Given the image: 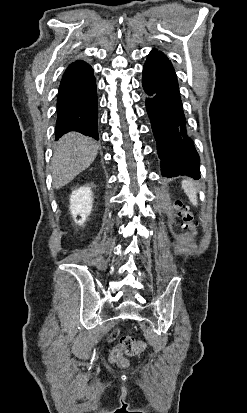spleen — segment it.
<instances>
[{"instance_id": "1", "label": "spleen", "mask_w": 247, "mask_h": 413, "mask_svg": "<svg viewBox=\"0 0 247 413\" xmlns=\"http://www.w3.org/2000/svg\"><path fill=\"white\" fill-rule=\"evenodd\" d=\"M182 188L184 192H186L187 196H189V200L193 202V204H197V192L196 188H194L193 184H191L190 180H182Z\"/></svg>"}]
</instances>
